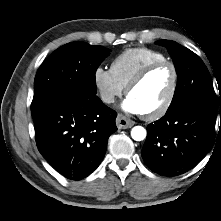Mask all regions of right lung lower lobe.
<instances>
[{"mask_svg": "<svg viewBox=\"0 0 221 221\" xmlns=\"http://www.w3.org/2000/svg\"><path fill=\"white\" fill-rule=\"evenodd\" d=\"M116 116L97 96H59L33 116L37 148L62 176L81 180L102 162Z\"/></svg>", "mask_w": 221, "mask_h": 221, "instance_id": "98d812e1", "label": "right lung lower lobe"}]
</instances>
